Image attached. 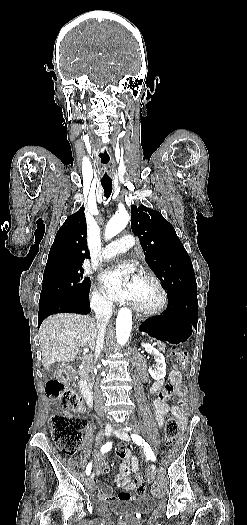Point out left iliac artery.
Masks as SVG:
<instances>
[{
  "mask_svg": "<svg viewBox=\"0 0 247 525\" xmlns=\"http://www.w3.org/2000/svg\"><path fill=\"white\" fill-rule=\"evenodd\" d=\"M131 437L133 442H135L137 445L141 446L144 449L146 456L153 462H155L156 456L154 455L150 445L147 442H145V440L141 436L137 434H132Z\"/></svg>",
  "mask_w": 247,
  "mask_h": 525,
  "instance_id": "44dca946",
  "label": "left iliac artery"
}]
</instances>
